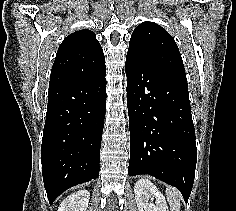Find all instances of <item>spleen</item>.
<instances>
[{
    "mask_svg": "<svg viewBox=\"0 0 236 211\" xmlns=\"http://www.w3.org/2000/svg\"><path fill=\"white\" fill-rule=\"evenodd\" d=\"M166 196L169 202L171 211H180V202L182 199L181 193L175 188H167Z\"/></svg>",
    "mask_w": 236,
    "mask_h": 211,
    "instance_id": "1",
    "label": "spleen"
}]
</instances>
